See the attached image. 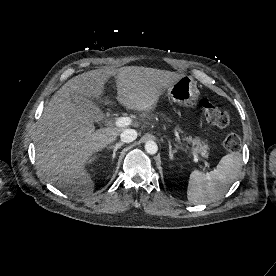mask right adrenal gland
Returning <instances> with one entry per match:
<instances>
[{"label":"right adrenal gland","mask_w":276,"mask_h":276,"mask_svg":"<svg viewBox=\"0 0 276 276\" xmlns=\"http://www.w3.org/2000/svg\"><path fill=\"white\" fill-rule=\"evenodd\" d=\"M123 145H124L123 142H119L115 146L108 147V149H113L112 160H114L117 150L120 149Z\"/></svg>","instance_id":"1"}]
</instances>
